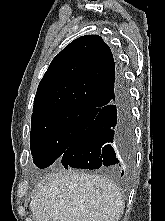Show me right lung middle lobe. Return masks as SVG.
I'll list each match as a JSON object with an SVG mask.
<instances>
[{"label": "right lung middle lobe", "mask_w": 165, "mask_h": 221, "mask_svg": "<svg viewBox=\"0 0 165 221\" xmlns=\"http://www.w3.org/2000/svg\"><path fill=\"white\" fill-rule=\"evenodd\" d=\"M96 109L62 107L32 115L30 147L34 164L50 166L95 119Z\"/></svg>", "instance_id": "right-lung-middle-lobe-1"}]
</instances>
